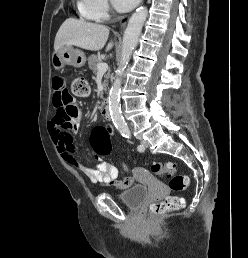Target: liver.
<instances>
[{"instance_id": "1", "label": "liver", "mask_w": 248, "mask_h": 258, "mask_svg": "<svg viewBox=\"0 0 248 258\" xmlns=\"http://www.w3.org/2000/svg\"><path fill=\"white\" fill-rule=\"evenodd\" d=\"M108 36L109 28L104 25L69 18L56 34L54 50L58 52L66 45H74L89 51H99L105 46ZM112 47L113 42H110L106 51Z\"/></svg>"}]
</instances>
